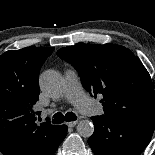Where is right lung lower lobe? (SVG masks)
Segmentation results:
<instances>
[{"label": "right lung lower lobe", "mask_w": 155, "mask_h": 155, "mask_svg": "<svg viewBox=\"0 0 155 155\" xmlns=\"http://www.w3.org/2000/svg\"><path fill=\"white\" fill-rule=\"evenodd\" d=\"M63 127H64V134L66 136V134H67V126L63 125ZM65 136H64V138H65Z\"/></svg>", "instance_id": "obj_1"}]
</instances>
